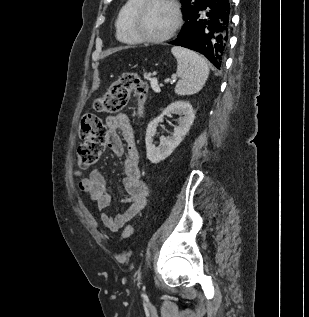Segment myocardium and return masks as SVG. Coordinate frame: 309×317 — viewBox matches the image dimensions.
Here are the masks:
<instances>
[{
  "mask_svg": "<svg viewBox=\"0 0 309 317\" xmlns=\"http://www.w3.org/2000/svg\"><path fill=\"white\" fill-rule=\"evenodd\" d=\"M154 3H165L169 5L175 14V22L173 27L166 34L159 37H150L144 35L138 27L139 21L144 13V11ZM183 24V16L179 3L176 0H142V2L133 11L130 19L131 31L139 42L143 43H162L171 39L177 31L181 28Z\"/></svg>",
  "mask_w": 309,
  "mask_h": 317,
  "instance_id": "1",
  "label": "myocardium"
}]
</instances>
